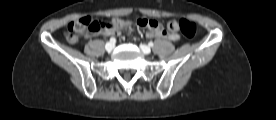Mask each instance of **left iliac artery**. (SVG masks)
<instances>
[{
  "label": "left iliac artery",
  "mask_w": 276,
  "mask_h": 120,
  "mask_svg": "<svg viewBox=\"0 0 276 120\" xmlns=\"http://www.w3.org/2000/svg\"><path fill=\"white\" fill-rule=\"evenodd\" d=\"M148 45H149L150 47H153L154 44H153V42H149Z\"/></svg>",
  "instance_id": "left-iliac-artery-1"
}]
</instances>
